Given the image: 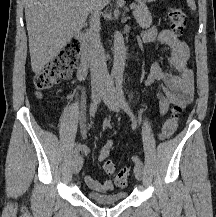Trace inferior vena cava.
<instances>
[{
  "instance_id": "1",
  "label": "inferior vena cava",
  "mask_w": 216,
  "mask_h": 217,
  "mask_svg": "<svg viewBox=\"0 0 216 217\" xmlns=\"http://www.w3.org/2000/svg\"><path fill=\"white\" fill-rule=\"evenodd\" d=\"M89 58L91 83L94 88L101 87L110 81L104 48L100 39V12H91L89 27Z\"/></svg>"
}]
</instances>
